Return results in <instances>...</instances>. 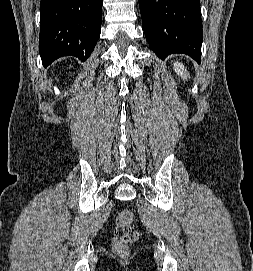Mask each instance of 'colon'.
Instances as JSON below:
<instances>
[{
	"label": "colon",
	"instance_id": "5ec220e1",
	"mask_svg": "<svg viewBox=\"0 0 253 271\" xmlns=\"http://www.w3.org/2000/svg\"><path fill=\"white\" fill-rule=\"evenodd\" d=\"M134 214L131 210L124 209L116 218V226L113 232V246L121 254L127 252L128 246L136 242L139 232L133 225Z\"/></svg>",
	"mask_w": 253,
	"mask_h": 271
}]
</instances>
